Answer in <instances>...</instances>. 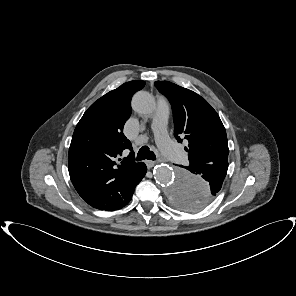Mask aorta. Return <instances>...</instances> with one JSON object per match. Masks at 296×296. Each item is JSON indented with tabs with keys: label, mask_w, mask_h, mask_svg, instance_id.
Wrapping results in <instances>:
<instances>
[{
	"label": "aorta",
	"mask_w": 296,
	"mask_h": 296,
	"mask_svg": "<svg viewBox=\"0 0 296 296\" xmlns=\"http://www.w3.org/2000/svg\"><path fill=\"white\" fill-rule=\"evenodd\" d=\"M132 107L139 114L149 115L155 111L156 101L150 93L139 91L132 99ZM154 178L163 187L168 200L182 210L200 212L212 202V185L201 174L162 164L155 168Z\"/></svg>",
	"instance_id": "obj_1"
}]
</instances>
